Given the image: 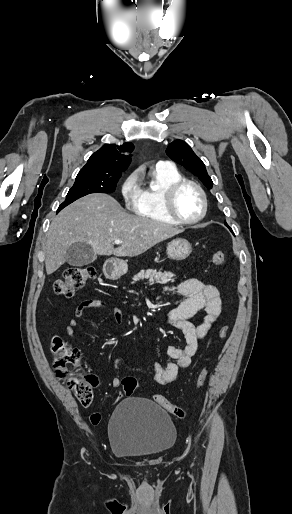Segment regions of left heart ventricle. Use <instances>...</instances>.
Here are the masks:
<instances>
[{"label": "left heart ventricle", "mask_w": 292, "mask_h": 514, "mask_svg": "<svg viewBox=\"0 0 292 514\" xmlns=\"http://www.w3.org/2000/svg\"><path fill=\"white\" fill-rule=\"evenodd\" d=\"M201 210L198 192L190 186L181 188L175 197V211L184 220L196 218Z\"/></svg>", "instance_id": "b2bd125f"}]
</instances>
